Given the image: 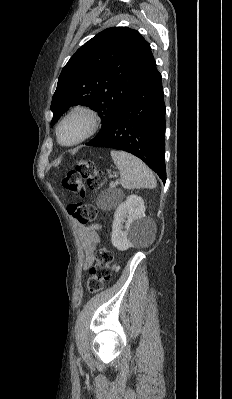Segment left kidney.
I'll list each match as a JSON object with an SVG mask.
<instances>
[{
	"mask_svg": "<svg viewBox=\"0 0 232 399\" xmlns=\"http://www.w3.org/2000/svg\"><path fill=\"white\" fill-rule=\"evenodd\" d=\"M127 217V219H126ZM125 221V225H123ZM151 227V221L145 215L144 201L140 196H128L118 205L114 213L111 239L117 249L135 247L144 241Z\"/></svg>",
	"mask_w": 232,
	"mask_h": 399,
	"instance_id": "obj_1",
	"label": "left kidney"
}]
</instances>
